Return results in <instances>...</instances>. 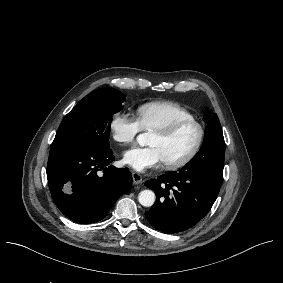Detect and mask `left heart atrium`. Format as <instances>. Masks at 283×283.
Listing matches in <instances>:
<instances>
[{
	"mask_svg": "<svg viewBox=\"0 0 283 283\" xmlns=\"http://www.w3.org/2000/svg\"><path fill=\"white\" fill-rule=\"evenodd\" d=\"M124 161L138 171L159 168L165 163L158 147L128 149L124 153Z\"/></svg>",
	"mask_w": 283,
	"mask_h": 283,
	"instance_id": "obj_1",
	"label": "left heart atrium"
}]
</instances>
